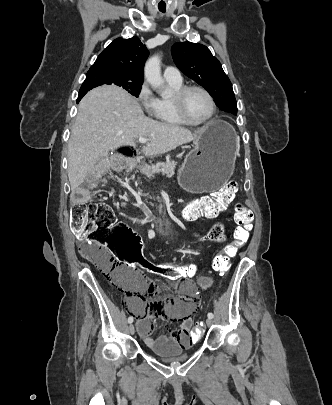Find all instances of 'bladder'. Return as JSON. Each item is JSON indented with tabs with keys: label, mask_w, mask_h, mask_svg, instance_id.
I'll return each mask as SVG.
<instances>
[{
	"label": "bladder",
	"mask_w": 332,
	"mask_h": 405,
	"mask_svg": "<svg viewBox=\"0 0 332 405\" xmlns=\"http://www.w3.org/2000/svg\"><path fill=\"white\" fill-rule=\"evenodd\" d=\"M152 353H154L156 356H158L160 359L164 360V361H183L186 360L188 358V354L181 352V351H177L174 353H168L162 350H151Z\"/></svg>",
	"instance_id": "31cf9c89"
}]
</instances>
